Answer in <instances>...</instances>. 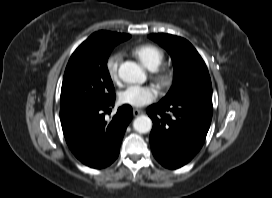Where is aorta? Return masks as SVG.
<instances>
[{"label": "aorta", "instance_id": "aorta-1", "mask_svg": "<svg viewBox=\"0 0 272 198\" xmlns=\"http://www.w3.org/2000/svg\"><path fill=\"white\" fill-rule=\"evenodd\" d=\"M119 77L127 83L142 84L146 80V74L141 66L132 61L122 63L118 71ZM133 128L138 133H148L152 128V120L146 116L141 115L133 121Z\"/></svg>", "mask_w": 272, "mask_h": 198}]
</instances>
